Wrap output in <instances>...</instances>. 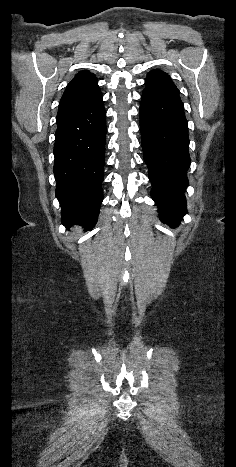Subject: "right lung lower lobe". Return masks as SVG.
<instances>
[{
    "label": "right lung lower lobe",
    "instance_id": "1",
    "mask_svg": "<svg viewBox=\"0 0 236 467\" xmlns=\"http://www.w3.org/2000/svg\"><path fill=\"white\" fill-rule=\"evenodd\" d=\"M55 137L53 172L62 224H79L90 230L103 201L106 114L102 97L57 120Z\"/></svg>",
    "mask_w": 236,
    "mask_h": 467
}]
</instances>
